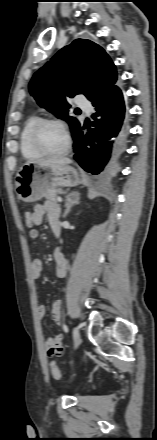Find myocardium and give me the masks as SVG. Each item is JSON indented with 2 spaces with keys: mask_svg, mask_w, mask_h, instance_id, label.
<instances>
[{
  "mask_svg": "<svg viewBox=\"0 0 157 440\" xmlns=\"http://www.w3.org/2000/svg\"><path fill=\"white\" fill-rule=\"evenodd\" d=\"M46 125H56L62 129V131L65 135V138H66V144H65V147L61 151L50 152V151L45 150L42 147V145L40 144L39 132ZM30 144L37 152H39L42 155L58 157V156L66 155L67 153L70 152V150L72 148V137H71L66 125L61 120L56 119V118H42V119H39L34 124V126L32 127V129L30 131Z\"/></svg>",
  "mask_w": 157,
  "mask_h": 440,
  "instance_id": "1",
  "label": "myocardium"
}]
</instances>
